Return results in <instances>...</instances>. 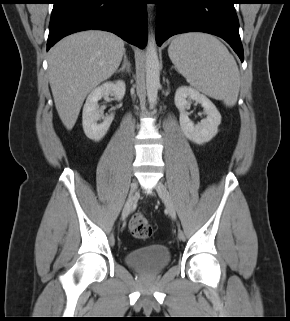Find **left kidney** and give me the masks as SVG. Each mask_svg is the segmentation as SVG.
<instances>
[{"label": "left kidney", "instance_id": "obj_1", "mask_svg": "<svg viewBox=\"0 0 290 321\" xmlns=\"http://www.w3.org/2000/svg\"><path fill=\"white\" fill-rule=\"evenodd\" d=\"M175 105L180 112V127L184 135L196 144L209 142L217 133L221 123V115L215 105L205 95L191 87H179L175 93ZM189 100L200 103L207 117L194 124L188 117L186 109Z\"/></svg>", "mask_w": 290, "mask_h": 321}]
</instances>
